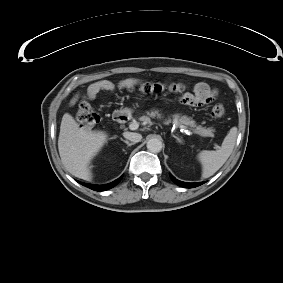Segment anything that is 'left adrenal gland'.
<instances>
[{"instance_id":"left-adrenal-gland-1","label":"left adrenal gland","mask_w":283,"mask_h":283,"mask_svg":"<svg viewBox=\"0 0 283 283\" xmlns=\"http://www.w3.org/2000/svg\"><path fill=\"white\" fill-rule=\"evenodd\" d=\"M173 137L177 140V142H180V138L176 137L175 135H173Z\"/></svg>"}]
</instances>
